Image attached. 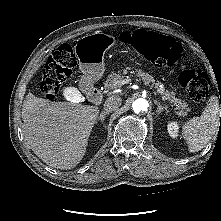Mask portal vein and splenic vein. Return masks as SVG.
<instances>
[{"instance_id":"18ae733b","label":"portal vein and splenic vein","mask_w":221,"mask_h":221,"mask_svg":"<svg viewBox=\"0 0 221 221\" xmlns=\"http://www.w3.org/2000/svg\"><path fill=\"white\" fill-rule=\"evenodd\" d=\"M129 82H131V79H126L125 81H124V84H127V83H129ZM72 101V100H71ZM72 102H77L76 100H74V101H72Z\"/></svg>"}]
</instances>
